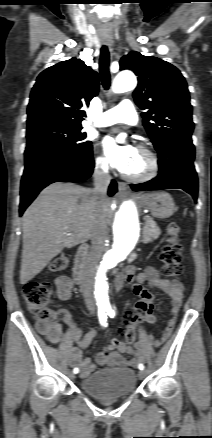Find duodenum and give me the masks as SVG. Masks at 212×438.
I'll use <instances>...</instances> for the list:
<instances>
[{
    "instance_id": "1",
    "label": "duodenum",
    "mask_w": 212,
    "mask_h": 438,
    "mask_svg": "<svg viewBox=\"0 0 212 438\" xmlns=\"http://www.w3.org/2000/svg\"><path fill=\"white\" fill-rule=\"evenodd\" d=\"M88 253V247L86 245H81L76 253L74 262V277L76 282H81L84 276L85 261Z\"/></svg>"
}]
</instances>
